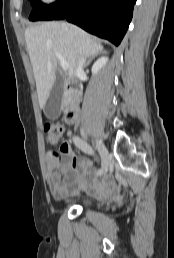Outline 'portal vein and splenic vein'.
Masks as SVG:
<instances>
[{"mask_svg":"<svg viewBox=\"0 0 174 258\" xmlns=\"http://www.w3.org/2000/svg\"><path fill=\"white\" fill-rule=\"evenodd\" d=\"M56 57L60 61V65H61L62 69L64 71H67L69 69V65H68L67 61H65V59L59 53H56Z\"/></svg>","mask_w":174,"mask_h":258,"instance_id":"1","label":"portal vein and splenic vein"}]
</instances>
